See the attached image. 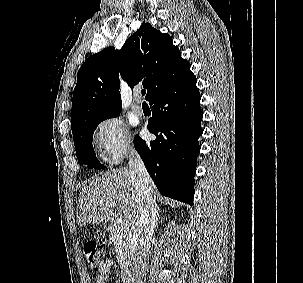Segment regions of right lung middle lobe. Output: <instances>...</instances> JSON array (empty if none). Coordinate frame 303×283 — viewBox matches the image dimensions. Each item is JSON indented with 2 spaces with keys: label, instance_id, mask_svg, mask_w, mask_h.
<instances>
[{
  "label": "right lung middle lobe",
  "instance_id": "obj_1",
  "mask_svg": "<svg viewBox=\"0 0 303 283\" xmlns=\"http://www.w3.org/2000/svg\"><path fill=\"white\" fill-rule=\"evenodd\" d=\"M101 121L86 122L72 132L78 162L80 165L87 164L88 168H105L97 160L92 146L93 132Z\"/></svg>",
  "mask_w": 303,
  "mask_h": 283
}]
</instances>
